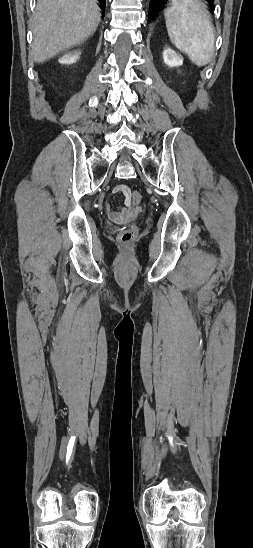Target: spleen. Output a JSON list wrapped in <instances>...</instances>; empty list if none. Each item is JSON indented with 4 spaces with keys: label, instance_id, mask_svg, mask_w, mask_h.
I'll return each mask as SVG.
<instances>
[{
    "label": "spleen",
    "instance_id": "3e777b00",
    "mask_svg": "<svg viewBox=\"0 0 253 548\" xmlns=\"http://www.w3.org/2000/svg\"><path fill=\"white\" fill-rule=\"evenodd\" d=\"M171 42L198 67L214 54L215 36L210 14L199 0H172L164 10Z\"/></svg>",
    "mask_w": 253,
    "mask_h": 548
}]
</instances>
